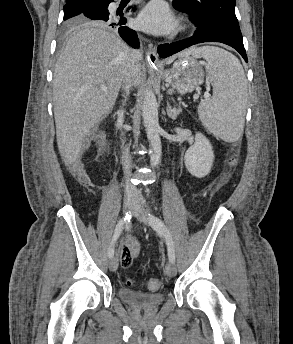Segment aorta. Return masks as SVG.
Masks as SVG:
<instances>
[{
	"mask_svg": "<svg viewBox=\"0 0 293 344\" xmlns=\"http://www.w3.org/2000/svg\"><path fill=\"white\" fill-rule=\"evenodd\" d=\"M142 117L147 138L152 147L150 162L153 167H157L161 161L162 147L158 120V104L156 96L151 89H146L143 94Z\"/></svg>",
	"mask_w": 293,
	"mask_h": 344,
	"instance_id": "1",
	"label": "aorta"
}]
</instances>
